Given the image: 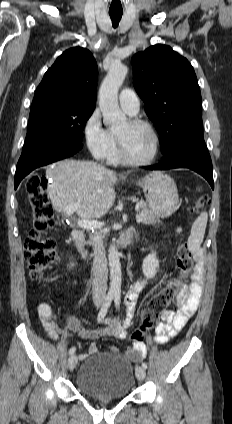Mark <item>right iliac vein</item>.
Masks as SVG:
<instances>
[{"label": "right iliac vein", "instance_id": "obj_1", "mask_svg": "<svg viewBox=\"0 0 232 424\" xmlns=\"http://www.w3.org/2000/svg\"><path fill=\"white\" fill-rule=\"evenodd\" d=\"M77 356L75 354H72L68 359V368L69 370H74L77 365Z\"/></svg>", "mask_w": 232, "mask_h": 424}]
</instances>
